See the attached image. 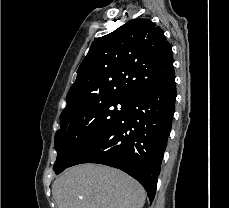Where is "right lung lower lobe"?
Returning <instances> with one entry per match:
<instances>
[{"label":"right lung lower lobe","mask_w":229,"mask_h":208,"mask_svg":"<svg viewBox=\"0 0 229 208\" xmlns=\"http://www.w3.org/2000/svg\"><path fill=\"white\" fill-rule=\"evenodd\" d=\"M175 75L132 99L110 128L88 143L68 167L98 163L119 168L139 181L152 202L175 111Z\"/></svg>","instance_id":"98d812e1"}]
</instances>
